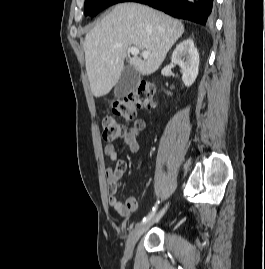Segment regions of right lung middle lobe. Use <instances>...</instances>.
Returning <instances> with one entry per match:
<instances>
[{
	"mask_svg": "<svg viewBox=\"0 0 265 269\" xmlns=\"http://www.w3.org/2000/svg\"><path fill=\"white\" fill-rule=\"evenodd\" d=\"M127 0H85V16H94L103 9Z\"/></svg>",
	"mask_w": 265,
	"mask_h": 269,
	"instance_id": "obj_1",
	"label": "right lung middle lobe"
}]
</instances>
